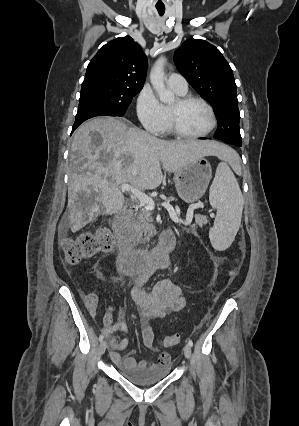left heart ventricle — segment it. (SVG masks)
Wrapping results in <instances>:
<instances>
[{"label": "left heart ventricle", "instance_id": "obj_1", "mask_svg": "<svg viewBox=\"0 0 299 426\" xmlns=\"http://www.w3.org/2000/svg\"><path fill=\"white\" fill-rule=\"evenodd\" d=\"M176 101L171 105L175 106ZM179 123L181 128L192 134H198L206 131L211 123L208 110L199 102H190L180 108Z\"/></svg>", "mask_w": 299, "mask_h": 426}]
</instances>
